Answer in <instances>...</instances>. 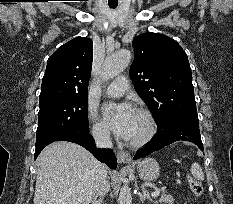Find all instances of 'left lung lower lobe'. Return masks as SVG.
<instances>
[{"label": "left lung lower lobe", "mask_w": 233, "mask_h": 204, "mask_svg": "<svg viewBox=\"0 0 233 204\" xmlns=\"http://www.w3.org/2000/svg\"><path fill=\"white\" fill-rule=\"evenodd\" d=\"M179 140L192 142L203 151L198 120L173 119L167 124H157V134L144 148L137 151L134 160Z\"/></svg>", "instance_id": "left-lung-lower-lobe-1"}]
</instances>
